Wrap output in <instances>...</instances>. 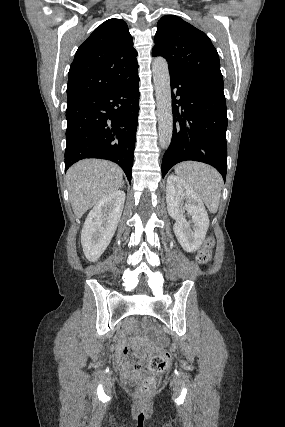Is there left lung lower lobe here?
I'll return each instance as SVG.
<instances>
[{"mask_svg": "<svg viewBox=\"0 0 285 427\" xmlns=\"http://www.w3.org/2000/svg\"><path fill=\"white\" fill-rule=\"evenodd\" d=\"M173 135L162 161V177L177 163H207L226 178L228 124L223 88L170 75ZM178 97V99H176Z\"/></svg>", "mask_w": 285, "mask_h": 427, "instance_id": "1", "label": "left lung lower lobe"}]
</instances>
